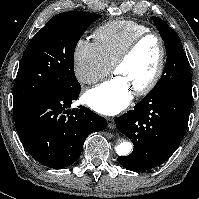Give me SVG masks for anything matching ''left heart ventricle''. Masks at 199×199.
Returning a JSON list of instances; mask_svg holds the SVG:
<instances>
[{
    "instance_id": "left-heart-ventricle-1",
    "label": "left heart ventricle",
    "mask_w": 199,
    "mask_h": 199,
    "mask_svg": "<svg viewBox=\"0 0 199 199\" xmlns=\"http://www.w3.org/2000/svg\"><path fill=\"white\" fill-rule=\"evenodd\" d=\"M159 44L154 37L142 41L115 75L123 78L132 92L144 86L153 76L159 61Z\"/></svg>"
}]
</instances>
